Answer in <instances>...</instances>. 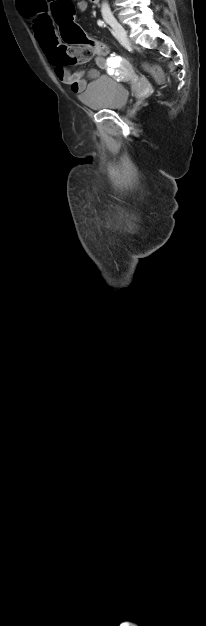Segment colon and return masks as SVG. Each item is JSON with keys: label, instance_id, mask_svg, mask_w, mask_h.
<instances>
[{"label": "colon", "instance_id": "obj_1", "mask_svg": "<svg viewBox=\"0 0 206 626\" xmlns=\"http://www.w3.org/2000/svg\"><path fill=\"white\" fill-rule=\"evenodd\" d=\"M48 1L53 8L55 20L60 27L61 38L64 42V45H60L57 52L59 63L66 65L87 62L94 55L107 51L105 44L86 37L83 30L74 22L75 13L72 0ZM151 72L157 79L162 78L159 70L152 68Z\"/></svg>", "mask_w": 206, "mask_h": 626}]
</instances>
